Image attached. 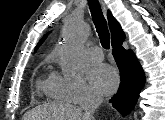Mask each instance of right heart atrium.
Segmentation results:
<instances>
[{
	"label": "right heart atrium",
	"instance_id": "obj_1",
	"mask_svg": "<svg viewBox=\"0 0 165 120\" xmlns=\"http://www.w3.org/2000/svg\"><path fill=\"white\" fill-rule=\"evenodd\" d=\"M53 93L71 103H83L97 99L96 94L82 77H64L54 74L50 77Z\"/></svg>",
	"mask_w": 165,
	"mask_h": 120
}]
</instances>
